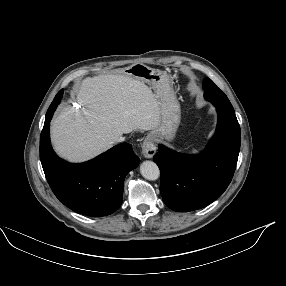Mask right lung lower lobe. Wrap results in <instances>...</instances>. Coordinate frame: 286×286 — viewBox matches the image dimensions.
<instances>
[{"instance_id": "98d812e1", "label": "right lung lower lobe", "mask_w": 286, "mask_h": 286, "mask_svg": "<svg viewBox=\"0 0 286 286\" xmlns=\"http://www.w3.org/2000/svg\"><path fill=\"white\" fill-rule=\"evenodd\" d=\"M51 108L40 136V159L53 193L79 214L99 217L115 212L122 204L124 179L139 164L132 145L122 143L88 162L68 163L50 144V120L56 105Z\"/></svg>"}]
</instances>
